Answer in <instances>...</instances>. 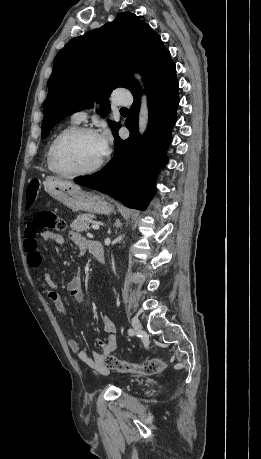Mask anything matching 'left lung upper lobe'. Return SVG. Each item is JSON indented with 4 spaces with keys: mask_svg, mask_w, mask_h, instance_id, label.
<instances>
[{
    "mask_svg": "<svg viewBox=\"0 0 261 459\" xmlns=\"http://www.w3.org/2000/svg\"><path fill=\"white\" fill-rule=\"evenodd\" d=\"M173 60L160 36L138 16L121 13L113 22L72 39L56 55L43 104L41 138L74 112L90 108L101 95L117 87L140 91L131 69L143 75L146 87ZM103 113L110 111L107 98L98 100ZM103 116H105L103 114ZM115 134L120 125L109 122Z\"/></svg>",
    "mask_w": 261,
    "mask_h": 459,
    "instance_id": "obj_1",
    "label": "left lung upper lobe"
}]
</instances>
